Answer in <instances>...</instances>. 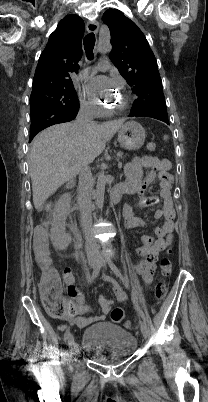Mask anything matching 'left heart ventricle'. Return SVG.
<instances>
[{
	"instance_id": "obj_1",
	"label": "left heart ventricle",
	"mask_w": 208,
	"mask_h": 402,
	"mask_svg": "<svg viewBox=\"0 0 208 402\" xmlns=\"http://www.w3.org/2000/svg\"><path fill=\"white\" fill-rule=\"evenodd\" d=\"M92 95L94 98H96L98 96V92H93ZM102 99H104L105 101L112 102L113 104L120 105L124 102L125 97H124V95H121L120 97H114L112 95H109V96L103 97Z\"/></svg>"
}]
</instances>
